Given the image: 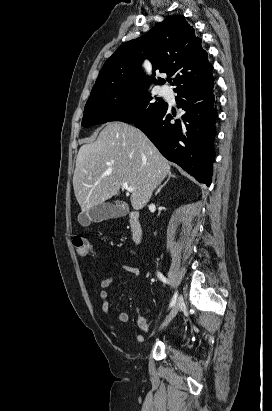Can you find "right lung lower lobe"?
Here are the masks:
<instances>
[{"mask_svg":"<svg viewBox=\"0 0 272 411\" xmlns=\"http://www.w3.org/2000/svg\"><path fill=\"white\" fill-rule=\"evenodd\" d=\"M213 82L211 76L198 85L176 90L177 106L182 111L173 122L171 120L176 112L166 103L151 117L133 123L165 158L177 163L207 186L211 184L215 158L213 142L217 111Z\"/></svg>","mask_w":272,"mask_h":411,"instance_id":"obj_1","label":"right lung lower lobe"}]
</instances>
